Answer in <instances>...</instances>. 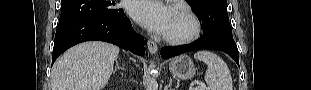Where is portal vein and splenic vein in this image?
<instances>
[{
	"label": "portal vein and splenic vein",
	"mask_w": 311,
	"mask_h": 90,
	"mask_svg": "<svg viewBox=\"0 0 311 90\" xmlns=\"http://www.w3.org/2000/svg\"><path fill=\"white\" fill-rule=\"evenodd\" d=\"M195 90H205V86L201 84V86H197Z\"/></svg>",
	"instance_id": "1"
}]
</instances>
